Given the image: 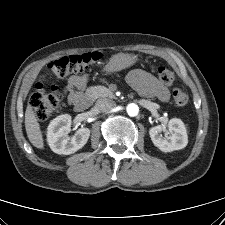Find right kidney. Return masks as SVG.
<instances>
[{
    "label": "right kidney",
    "instance_id": "1",
    "mask_svg": "<svg viewBox=\"0 0 225 225\" xmlns=\"http://www.w3.org/2000/svg\"><path fill=\"white\" fill-rule=\"evenodd\" d=\"M71 116L60 115L53 119L47 128V141L51 150L57 154L70 155L81 149L88 141L90 130L80 128L71 138Z\"/></svg>",
    "mask_w": 225,
    "mask_h": 225
}]
</instances>
